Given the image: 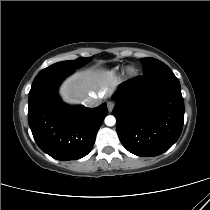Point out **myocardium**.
<instances>
[{
	"instance_id": "obj_1",
	"label": "myocardium",
	"mask_w": 210,
	"mask_h": 210,
	"mask_svg": "<svg viewBox=\"0 0 210 210\" xmlns=\"http://www.w3.org/2000/svg\"><path fill=\"white\" fill-rule=\"evenodd\" d=\"M127 72H128L130 75H133V74L136 72V70H135L133 67H129V68L127 69Z\"/></svg>"
}]
</instances>
